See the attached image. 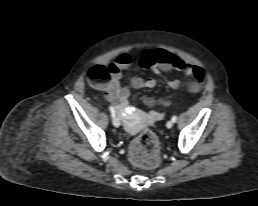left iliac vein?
I'll use <instances>...</instances> for the list:
<instances>
[{
    "mask_svg": "<svg viewBox=\"0 0 258 206\" xmlns=\"http://www.w3.org/2000/svg\"><path fill=\"white\" fill-rule=\"evenodd\" d=\"M173 121L172 120H170V121H168L167 123H166V126H167V128H172L173 127Z\"/></svg>",
    "mask_w": 258,
    "mask_h": 206,
    "instance_id": "left-iliac-vein-1",
    "label": "left iliac vein"
}]
</instances>
